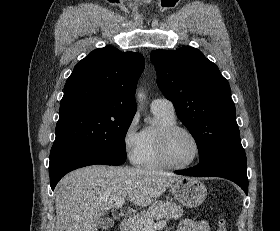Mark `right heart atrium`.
<instances>
[{"label": "right heart atrium", "mask_w": 280, "mask_h": 231, "mask_svg": "<svg viewBox=\"0 0 280 231\" xmlns=\"http://www.w3.org/2000/svg\"><path fill=\"white\" fill-rule=\"evenodd\" d=\"M122 146L126 157L133 164H141L145 151V136L138 130V121L131 118L122 133Z\"/></svg>", "instance_id": "d8ad5b80"}]
</instances>
